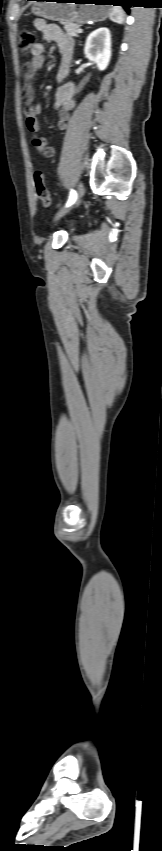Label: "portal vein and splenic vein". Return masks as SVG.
<instances>
[{"instance_id": "1", "label": "portal vein and splenic vein", "mask_w": 162, "mask_h": 851, "mask_svg": "<svg viewBox=\"0 0 162 851\" xmlns=\"http://www.w3.org/2000/svg\"><path fill=\"white\" fill-rule=\"evenodd\" d=\"M82 32H83V30H82V29H79V30H78V33H82Z\"/></svg>"}]
</instances>
